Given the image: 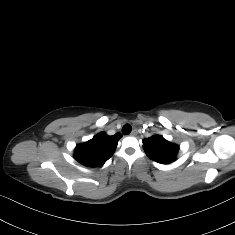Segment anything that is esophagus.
Returning a JSON list of instances; mask_svg holds the SVG:
<instances>
[{
	"mask_svg": "<svg viewBox=\"0 0 235 235\" xmlns=\"http://www.w3.org/2000/svg\"><path fill=\"white\" fill-rule=\"evenodd\" d=\"M137 134H138L137 129H134V130L130 133L131 136H136Z\"/></svg>",
	"mask_w": 235,
	"mask_h": 235,
	"instance_id": "obj_1",
	"label": "esophagus"
}]
</instances>
